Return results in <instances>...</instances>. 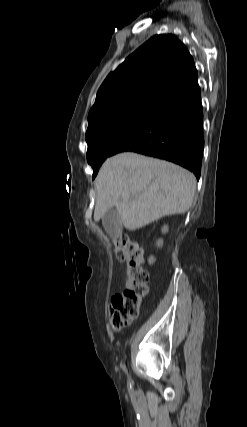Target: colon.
Segmentation results:
<instances>
[{
	"label": "colon",
	"mask_w": 247,
	"mask_h": 427,
	"mask_svg": "<svg viewBox=\"0 0 247 427\" xmlns=\"http://www.w3.org/2000/svg\"><path fill=\"white\" fill-rule=\"evenodd\" d=\"M114 253L118 260L127 262L125 289L113 296L109 309L111 325L119 331L137 317L142 299L148 293L149 274L143 267L142 247L127 235L114 241Z\"/></svg>",
	"instance_id": "obj_1"
}]
</instances>
